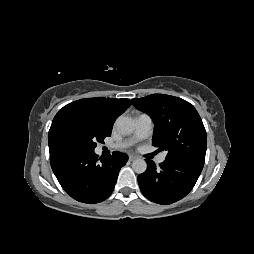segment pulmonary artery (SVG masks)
I'll return each mask as SVG.
<instances>
[{
	"label": "pulmonary artery",
	"instance_id": "pulmonary-artery-1",
	"mask_svg": "<svg viewBox=\"0 0 254 254\" xmlns=\"http://www.w3.org/2000/svg\"><path fill=\"white\" fill-rule=\"evenodd\" d=\"M152 119L147 114H140L136 117L135 130L131 137L121 141L113 146L116 149H122L129 147L139 140L148 137L152 131ZM165 160V154H161L157 158L158 163H162Z\"/></svg>",
	"mask_w": 254,
	"mask_h": 254
}]
</instances>
